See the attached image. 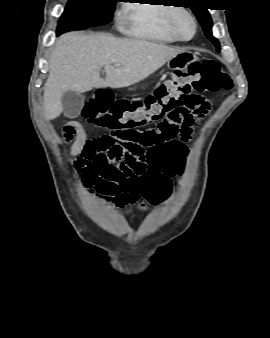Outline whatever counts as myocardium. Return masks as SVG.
I'll return each mask as SVG.
<instances>
[{
	"instance_id": "obj_1",
	"label": "myocardium",
	"mask_w": 270,
	"mask_h": 338,
	"mask_svg": "<svg viewBox=\"0 0 270 338\" xmlns=\"http://www.w3.org/2000/svg\"><path fill=\"white\" fill-rule=\"evenodd\" d=\"M182 17H186L190 20L191 24H192V33L190 36L188 37H183L178 30V22L180 20V18ZM169 30L172 33V35L175 37V39L179 40V41H190L196 34V29H197V23H196V18L195 16L189 12L186 9H178L177 11H175L169 19Z\"/></svg>"
}]
</instances>
